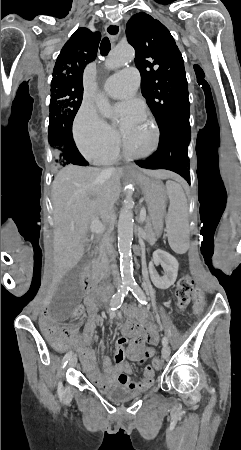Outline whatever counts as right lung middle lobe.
<instances>
[{"mask_svg":"<svg viewBox=\"0 0 241 450\" xmlns=\"http://www.w3.org/2000/svg\"><path fill=\"white\" fill-rule=\"evenodd\" d=\"M82 97L83 88L67 84L51 85L48 139L51 146L52 167L55 171L70 164L65 137H73L72 123Z\"/></svg>","mask_w":241,"mask_h":450,"instance_id":"obj_1","label":"right lung middle lobe"}]
</instances>
